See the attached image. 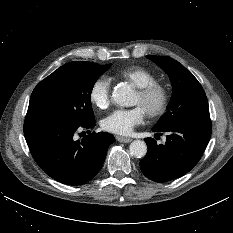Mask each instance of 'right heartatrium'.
I'll list each match as a JSON object with an SVG mask.
<instances>
[{"label":"right heart atrium","instance_id":"1","mask_svg":"<svg viewBox=\"0 0 233 233\" xmlns=\"http://www.w3.org/2000/svg\"><path fill=\"white\" fill-rule=\"evenodd\" d=\"M90 102L99 109H105L111 101V83L107 78H97L89 91Z\"/></svg>","mask_w":233,"mask_h":233}]
</instances>
